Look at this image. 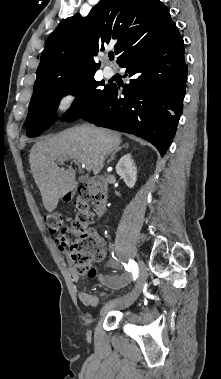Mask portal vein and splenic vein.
<instances>
[{
    "mask_svg": "<svg viewBox=\"0 0 221 379\" xmlns=\"http://www.w3.org/2000/svg\"><path fill=\"white\" fill-rule=\"evenodd\" d=\"M86 168V170L90 171L92 169V163L91 162H85L83 164Z\"/></svg>",
    "mask_w": 221,
    "mask_h": 379,
    "instance_id": "portal-vein-and-splenic-vein-1",
    "label": "portal vein and splenic vein"
}]
</instances>
